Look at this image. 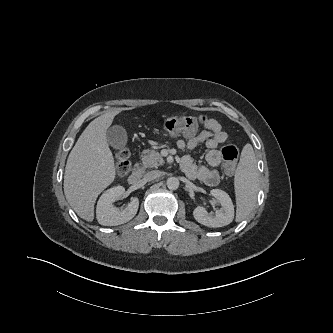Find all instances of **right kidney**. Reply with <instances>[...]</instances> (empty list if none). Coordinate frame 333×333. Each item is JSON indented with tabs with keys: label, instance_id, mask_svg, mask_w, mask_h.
Masks as SVG:
<instances>
[{
	"label": "right kidney",
	"instance_id": "1",
	"mask_svg": "<svg viewBox=\"0 0 333 333\" xmlns=\"http://www.w3.org/2000/svg\"><path fill=\"white\" fill-rule=\"evenodd\" d=\"M125 192L123 186H116L106 190L97 203L96 217L99 224L104 226H117L130 221L137 213L139 200L132 198L125 209L120 210L113 206V203L119 199Z\"/></svg>",
	"mask_w": 333,
	"mask_h": 333
}]
</instances>
